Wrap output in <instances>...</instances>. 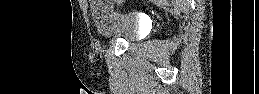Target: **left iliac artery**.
I'll use <instances>...</instances> for the list:
<instances>
[{
    "label": "left iliac artery",
    "instance_id": "left-iliac-artery-1",
    "mask_svg": "<svg viewBox=\"0 0 259 94\" xmlns=\"http://www.w3.org/2000/svg\"><path fill=\"white\" fill-rule=\"evenodd\" d=\"M118 3H121V0H118Z\"/></svg>",
    "mask_w": 259,
    "mask_h": 94
}]
</instances>
